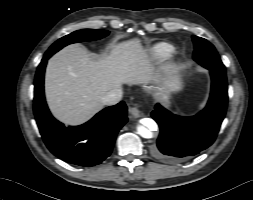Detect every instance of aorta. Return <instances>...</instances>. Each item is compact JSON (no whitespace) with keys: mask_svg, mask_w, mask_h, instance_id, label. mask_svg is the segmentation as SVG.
<instances>
[{"mask_svg":"<svg viewBox=\"0 0 253 200\" xmlns=\"http://www.w3.org/2000/svg\"><path fill=\"white\" fill-rule=\"evenodd\" d=\"M157 128V124L149 118L143 120V125L137 127L138 134L143 138H152V130Z\"/></svg>","mask_w":253,"mask_h":200,"instance_id":"aorta-1","label":"aorta"}]
</instances>
